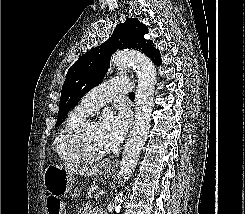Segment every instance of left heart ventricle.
I'll use <instances>...</instances> for the list:
<instances>
[{"label":"left heart ventricle","instance_id":"obj_1","mask_svg":"<svg viewBox=\"0 0 245 214\" xmlns=\"http://www.w3.org/2000/svg\"><path fill=\"white\" fill-rule=\"evenodd\" d=\"M83 144L86 151L90 154H100L106 152V149L99 137L97 125H90L83 137Z\"/></svg>","mask_w":245,"mask_h":214}]
</instances>
